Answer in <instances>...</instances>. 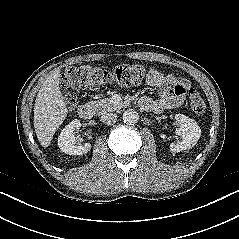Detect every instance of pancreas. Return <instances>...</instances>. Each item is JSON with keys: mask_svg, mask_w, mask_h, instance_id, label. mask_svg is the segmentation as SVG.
I'll return each mask as SVG.
<instances>
[{"mask_svg": "<svg viewBox=\"0 0 239 239\" xmlns=\"http://www.w3.org/2000/svg\"><path fill=\"white\" fill-rule=\"evenodd\" d=\"M90 104L93 105L97 109V111H99L100 113L115 111L116 109L122 106V103H118V104L114 103L112 98H104V99L92 101L90 102Z\"/></svg>", "mask_w": 239, "mask_h": 239, "instance_id": "obj_1", "label": "pancreas"}]
</instances>
